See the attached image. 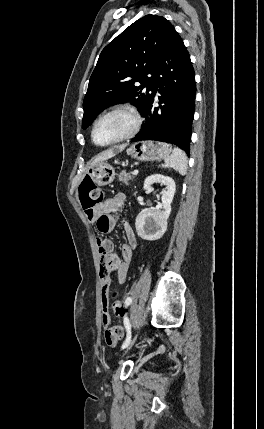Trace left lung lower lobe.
I'll return each instance as SVG.
<instances>
[{
  "label": "left lung lower lobe",
  "instance_id": "0a47b994",
  "mask_svg": "<svg viewBox=\"0 0 264 429\" xmlns=\"http://www.w3.org/2000/svg\"><path fill=\"white\" fill-rule=\"evenodd\" d=\"M151 97L141 115V132L131 141L157 140L172 143L189 155L195 107V75L184 43L173 28L155 68ZM159 106L153 105L156 92Z\"/></svg>",
  "mask_w": 264,
  "mask_h": 429
}]
</instances>
